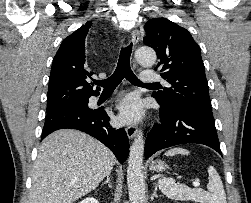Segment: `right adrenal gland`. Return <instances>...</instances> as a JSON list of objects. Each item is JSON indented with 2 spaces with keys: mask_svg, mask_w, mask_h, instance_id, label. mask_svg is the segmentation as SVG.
Masks as SVG:
<instances>
[{
  "mask_svg": "<svg viewBox=\"0 0 251 203\" xmlns=\"http://www.w3.org/2000/svg\"><path fill=\"white\" fill-rule=\"evenodd\" d=\"M105 184H108V186H109L110 188L112 187V185H111V183H110V174L107 175L106 181H104V182L101 184V186H103V185H105Z\"/></svg>",
  "mask_w": 251,
  "mask_h": 203,
  "instance_id": "obj_1",
  "label": "right adrenal gland"
}]
</instances>
